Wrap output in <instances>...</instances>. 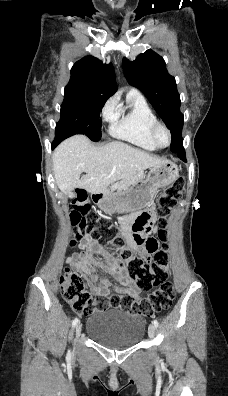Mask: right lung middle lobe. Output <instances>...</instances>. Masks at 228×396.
<instances>
[{
  "label": "right lung middle lobe",
  "instance_id": "obj_1",
  "mask_svg": "<svg viewBox=\"0 0 228 396\" xmlns=\"http://www.w3.org/2000/svg\"><path fill=\"white\" fill-rule=\"evenodd\" d=\"M100 94L65 89L61 118L56 124V138L64 140L75 134H85L92 141L101 138L100 111L106 102Z\"/></svg>",
  "mask_w": 228,
  "mask_h": 396
}]
</instances>
